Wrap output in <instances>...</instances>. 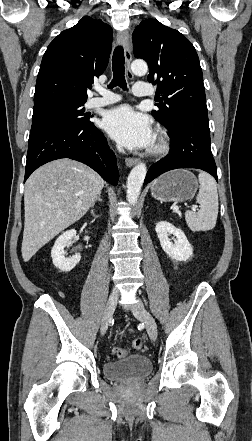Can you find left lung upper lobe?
Here are the masks:
<instances>
[{"label": "left lung upper lobe", "instance_id": "obj_1", "mask_svg": "<svg viewBox=\"0 0 252 441\" xmlns=\"http://www.w3.org/2000/svg\"><path fill=\"white\" fill-rule=\"evenodd\" d=\"M134 56L150 69L148 81L162 95L153 117L172 130L187 116L208 120L199 58L192 43L180 32L156 19H146L133 33Z\"/></svg>", "mask_w": 252, "mask_h": 441}]
</instances>
